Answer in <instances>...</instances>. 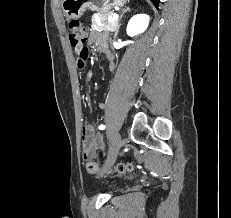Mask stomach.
<instances>
[{"instance_id": "0dacf381", "label": "stomach", "mask_w": 231, "mask_h": 218, "mask_svg": "<svg viewBox=\"0 0 231 218\" xmlns=\"http://www.w3.org/2000/svg\"><path fill=\"white\" fill-rule=\"evenodd\" d=\"M126 2L127 0H63L62 9L67 18L79 19L87 9L107 13L115 6H124Z\"/></svg>"}]
</instances>
